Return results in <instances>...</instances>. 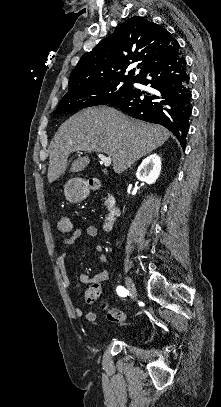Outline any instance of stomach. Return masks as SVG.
Returning a JSON list of instances; mask_svg holds the SVG:
<instances>
[{"mask_svg": "<svg viewBox=\"0 0 221 407\" xmlns=\"http://www.w3.org/2000/svg\"><path fill=\"white\" fill-rule=\"evenodd\" d=\"M64 194L70 203H79L88 196L89 189L83 179L73 178L65 184Z\"/></svg>", "mask_w": 221, "mask_h": 407, "instance_id": "stomach-1", "label": "stomach"}]
</instances>
